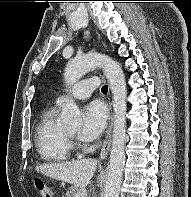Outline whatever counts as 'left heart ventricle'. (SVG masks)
Wrapping results in <instances>:
<instances>
[{
  "label": "left heart ventricle",
  "mask_w": 191,
  "mask_h": 197,
  "mask_svg": "<svg viewBox=\"0 0 191 197\" xmlns=\"http://www.w3.org/2000/svg\"><path fill=\"white\" fill-rule=\"evenodd\" d=\"M68 132L71 133V134H75L77 132V130L76 129H71V130H68Z\"/></svg>",
  "instance_id": "left-heart-ventricle-1"
}]
</instances>
